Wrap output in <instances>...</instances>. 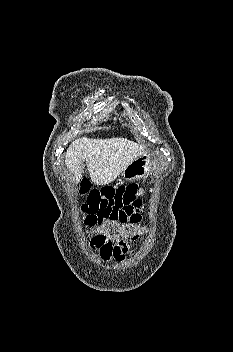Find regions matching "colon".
Masks as SVG:
<instances>
[{
    "mask_svg": "<svg viewBox=\"0 0 233 352\" xmlns=\"http://www.w3.org/2000/svg\"><path fill=\"white\" fill-rule=\"evenodd\" d=\"M95 227V237L102 241L131 242L139 239L146 231L145 227L131 222H120L115 219H106L96 223H89Z\"/></svg>",
    "mask_w": 233,
    "mask_h": 352,
    "instance_id": "obj_1",
    "label": "colon"
}]
</instances>
